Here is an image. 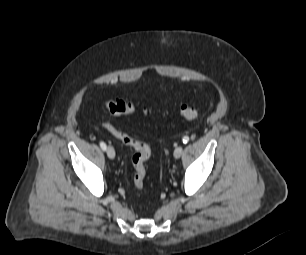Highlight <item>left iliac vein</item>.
Returning <instances> with one entry per match:
<instances>
[{
  "label": "left iliac vein",
  "instance_id": "1",
  "mask_svg": "<svg viewBox=\"0 0 306 255\" xmlns=\"http://www.w3.org/2000/svg\"><path fill=\"white\" fill-rule=\"evenodd\" d=\"M182 153H183V148H182L181 146H179V147H177V148L174 150L173 155H174V157H175L176 159H178V158H180V156L182 155Z\"/></svg>",
  "mask_w": 306,
  "mask_h": 255
}]
</instances>
